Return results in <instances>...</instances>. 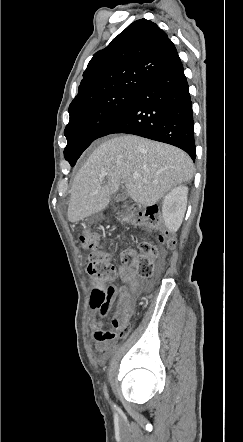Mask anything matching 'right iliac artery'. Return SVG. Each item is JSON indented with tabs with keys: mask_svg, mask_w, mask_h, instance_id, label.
I'll return each instance as SVG.
<instances>
[{
	"mask_svg": "<svg viewBox=\"0 0 243 442\" xmlns=\"http://www.w3.org/2000/svg\"><path fill=\"white\" fill-rule=\"evenodd\" d=\"M104 393H105V396L108 398V393H107L106 387H104Z\"/></svg>",
	"mask_w": 243,
	"mask_h": 442,
	"instance_id": "right-iliac-artery-1",
	"label": "right iliac artery"
}]
</instances>
